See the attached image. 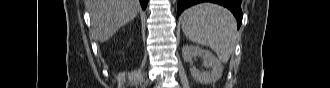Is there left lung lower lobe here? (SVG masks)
Returning <instances> with one entry per match:
<instances>
[{"mask_svg": "<svg viewBox=\"0 0 330 88\" xmlns=\"http://www.w3.org/2000/svg\"><path fill=\"white\" fill-rule=\"evenodd\" d=\"M241 1L242 0H178L177 18L186 8L190 6L202 2H212L228 8L235 16L239 28L243 18L241 10Z\"/></svg>", "mask_w": 330, "mask_h": 88, "instance_id": "left-lung-lower-lobe-1", "label": "left lung lower lobe"}]
</instances>
